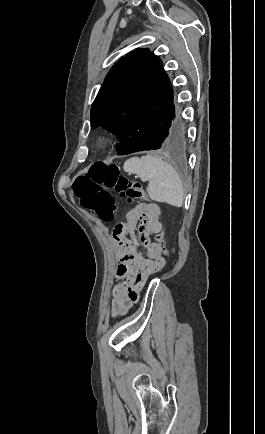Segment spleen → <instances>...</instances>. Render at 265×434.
Returning <instances> with one entry per match:
<instances>
[{"mask_svg":"<svg viewBox=\"0 0 265 434\" xmlns=\"http://www.w3.org/2000/svg\"><path fill=\"white\" fill-rule=\"evenodd\" d=\"M123 170L137 174L142 182H149L148 196L154 202H166L177 208L183 206V184L168 162L147 154L142 158L126 160Z\"/></svg>","mask_w":265,"mask_h":434,"instance_id":"spleen-1","label":"spleen"}]
</instances>
